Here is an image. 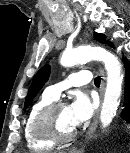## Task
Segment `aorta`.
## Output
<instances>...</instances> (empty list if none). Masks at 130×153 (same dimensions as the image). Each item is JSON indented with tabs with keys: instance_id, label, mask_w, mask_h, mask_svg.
<instances>
[{
	"instance_id": "1",
	"label": "aorta",
	"mask_w": 130,
	"mask_h": 153,
	"mask_svg": "<svg viewBox=\"0 0 130 153\" xmlns=\"http://www.w3.org/2000/svg\"><path fill=\"white\" fill-rule=\"evenodd\" d=\"M91 60L103 62L107 71V86L100 113L101 124L103 127H106L116 115L121 95L123 75L118 58L103 48L83 46L64 52L60 63L64 67H72L87 63Z\"/></svg>"
}]
</instances>
